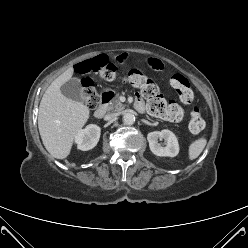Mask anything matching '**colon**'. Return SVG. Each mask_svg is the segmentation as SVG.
<instances>
[{"label": "colon", "mask_w": 248, "mask_h": 248, "mask_svg": "<svg viewBox=\"0 0 248 248\" xmlns=\"http://www.w3.org/2000/svg\"><path fill=\"white\" fill-rule=\"evenodd\" d=\"M77 69L81 73H88L90 70H99L100 77L107 82L116 79L117 73L114 67L105 65V59L98 57L87 60L78 65ZM123 82L141 89L142 95L147 99L148 111L158 117L167 119H176L180 116V108L175 103H168L160 94L157 84L137 70L128 72L123 78ZM170 86L178 95L183 104H191L194 100V94L189 81L181 74H173L170 77ZM81 93L87 105L95 109L100 104L99 95L93 87L92 80L85 77L82 80ZM205 127V122L201 117L200 109L194 105L190 113L189 130L194 133H200Z\"/></svg>", "instance_id": "colon-1"}]
</instances>
